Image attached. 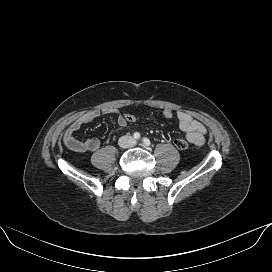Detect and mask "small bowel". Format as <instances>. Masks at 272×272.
I'll list each match as a JSON object with an SVG mask.
<instances>
[{
  "label": "small bowel",
  "instance_id": "c3829d8e",
  "mask_svg": "<svg viewBox=\"0 0 272 272\" xmlns=\"http://www.w3.org/2000/svg\"><path fill=\"white\" fill-rule=\"evenodd\" d=\"M101 114H112L116 116V124L118 127L123 128L127 125L124 116L117 110L105 109L103 111L94 110L82 114L77 117L66 129L64 133V143L72 150L78 152L90 151L94 152L99 149L100 141L97 138H89L86 140H78L75 133L85 124L95 120ZM179 128L185 133L186 140L197 148H200L205 143L206 127L189 113L178 110L175 112Z\"/></svg>",
  "mask_w": 272,
  "mask_h": 272
}]
</instances>
